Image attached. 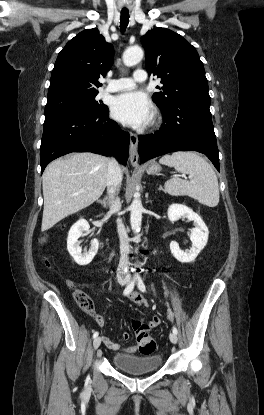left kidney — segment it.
<instances>
[{
    "label": "left kidney",
    "mask_w": 264,
    "mask_h": 415,
    "mask_svg": "<svg viewBox=\"0 0 264 415\" xmlns=\"http://www.w3.org/2000/svg\"><path fill=\"white\" fill-rule=\"evenodd\" d=\"M167 214L171 222L180 218H187L194 222L195 228L192 229L190 235L192 247L189 250H181L175 241L170 243L171 253L179 262L190 263L194 261L208 241L209 231L206 224L197 213L183 204H171Z\"/></svg>",
    "instance_id": "1"
}]
</instances>
